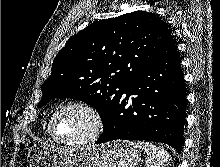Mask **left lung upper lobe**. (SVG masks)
I'll return each instance as SVG.
<instances>
[{"label":"left lung upper lobe","instance_id":"left-lung-upper-lobe-1","mask_svg":"<svg viewBox=\"0 0 220 167\" xmlns=\"http://www.w3.org/2000/svg\"><path fill=\"white\" fill-rule=\"evenodd\" d=\"M175 49L170 27L152 13L94 22L70 37L55 57L38 107L56 97L78 99L93 106L105 125L129 80Z\"/></svg>","mask_w":220,"mask_h":167}]
</instances>
